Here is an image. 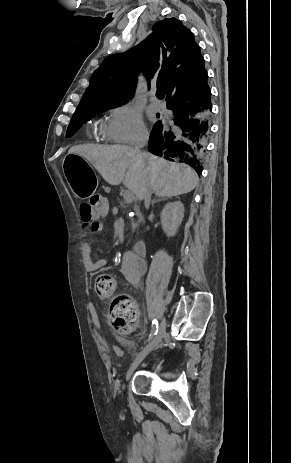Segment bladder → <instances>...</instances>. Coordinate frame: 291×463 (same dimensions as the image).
<instances>
[{
  "label": "bladder",
  "mask_w": 291,
  "mask_h": 463,
  "mask_svg": "<svg viewBox=\"0 0 291 463\" xmlns=\"http://www.w3.org/2000/svg\"><path fill=\"white\" fill-rule=\"evenodd\" d=\"M119 344H120V347L123 349H128V350L133 349V344L129 339H122L120 340Z\"/></svg>",
  "instance_id": "31cf9c89"
}]
</instances>
